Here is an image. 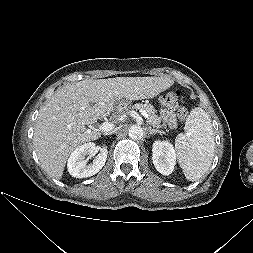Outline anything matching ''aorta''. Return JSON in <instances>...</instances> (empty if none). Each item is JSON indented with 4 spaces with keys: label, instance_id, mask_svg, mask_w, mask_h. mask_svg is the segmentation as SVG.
Masks as SVG:
<instances>
[{
    "label": "aorta",
    "instance_id": "762f6f07",
    "mask_svg": "<svg viewBox=\"0 0 253 253\" xmlns=\"http://www.w3.org/2000/svg\"><path fill=\"white\" fill-rule=\"evenodd\" d=\"M128 135L133 140H140L144 136V131L140 126L133 125L129 129Z\"/></svg>",
    "mask_w": 253,
    "mask_h": 253
}]
</instances>
